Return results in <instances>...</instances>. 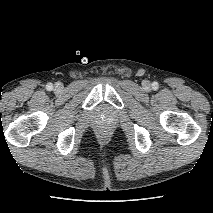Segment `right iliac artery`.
<instances>
[{
    "label": "right iliac artery",
    "mask_w": 213,
    "mask_h": 213,
    "mask_svg": "<svg viewBox=\"0 0 213 213\" xmlns=\"http://www.w3.org/2000/svg\"><path fill=\"white\" fill-rule=\"evenodd\" d=\"M46 89H47L48 91H51V90L53 89L52 83H48V84L46 85Z\"/></svg>",
    "instance_id": "1"
}]
</instances>
